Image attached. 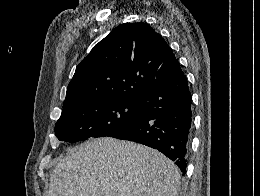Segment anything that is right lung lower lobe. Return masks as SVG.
<instances>
[{
  "label": "right lung lower lobe",
  "mask_w": 260,
  "mask_h": 196,
  "mask_svg": "<svg viewBox=\"0 0 260 196\" xmlns=\"http://www.w3.org/2000/svg\"><path fill=\"white\" fill-rule=\"evenodd\" d=\"M144 118L110 137L159 150L186 174L192 128V96L185 74L138 99Z\"/></svg>",
  "instance_id": "right-lung-lower-lobe-1"
}]
</instances>
